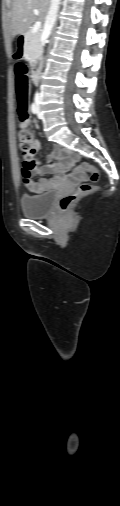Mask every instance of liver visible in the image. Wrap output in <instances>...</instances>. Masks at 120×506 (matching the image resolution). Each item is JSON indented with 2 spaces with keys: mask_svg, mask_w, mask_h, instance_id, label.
Returning <instances> with one entry per match:
<instances>
[{
  "mask_svg": "<svg viewBox=\"0 0 120 506\" xmlns=\"http://www.w3.org/2000/svg\"><path fill=\"white\" fill-rule=\"evenodd\" d=\"M51 0H14L12 6L11 35L24 34L38 20L44 21L49 11ZM38 9L35 15L33 10Z\"/></svg>",
  "mask_w": 120,
  "mask_h": 506,
  "instance_id": "6515ba94",
  "label": "liver"
}]
</instances>
